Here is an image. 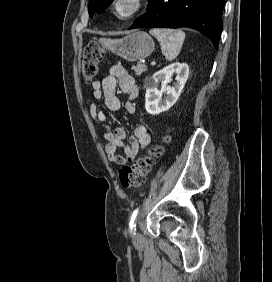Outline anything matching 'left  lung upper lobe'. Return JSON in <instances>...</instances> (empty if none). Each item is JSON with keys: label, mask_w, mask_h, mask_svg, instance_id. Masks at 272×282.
Returning <instances> with one entry per match:
<instances>
[{"label": "left lung upper lobe", "mask_w": 272, "mask_h": 282, "mask_svg": "<svg viewBox=\"0 0 272 282\" xmlns=\"http://www.w3.org/2000/svg\"><path fill=\"white\" fill-rule=\"evenodd\" d=\"M113 0H91L89 4V15L92 17L93 14L103 12Z\"/></svg>", "instance_id": "5c2ea615"}]
</instances>
